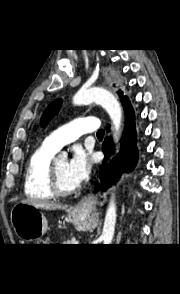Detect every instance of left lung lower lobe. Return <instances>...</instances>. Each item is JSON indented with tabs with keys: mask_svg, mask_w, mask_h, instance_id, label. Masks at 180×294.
I'll return each instance as SVG.
<instances>
[{
	"mask_svg": "<svg viewBox=\"0 0 180 294\" xmlns=\"http://www.w3.org/2000/svg\"><path fill=\"white\" fill-rule=\"evenodd\" d=\"M122 104L126 114V130L121 140V152L119 153L117 159L114 160L111 172H109L108 167L106 166V161L112 152L113 142L111 138L107 137L103 143L105 159L102 165L100 176L103 191L113 184L116 181V178L119 177L122 172H131L137 162L138 151L136 147V132L133 108L129 99L125 100ZM107 131H109V126H107ZM97 189L98 185L96 186L95 191H97Z\"/></svg>",
	"mask_w": 180,
	"mask_h": 294,
	"instance_id": "0a47b994",
	"label": "left lung lower lobe"
}]
</instances>
